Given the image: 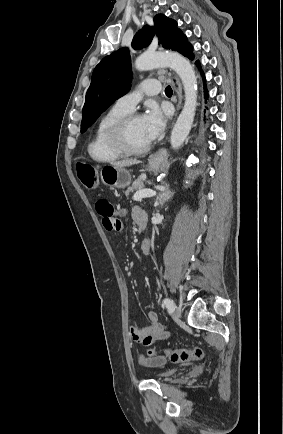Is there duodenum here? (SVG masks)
Segmentation results:
<instances>
[{
    "instance_id": "duodenum-1",
    "label": "duodenum",
    "mask_w": 283,
    "mask_h": 434,
    "mask_svg": "<svg viewBox=\"0 0 283 434\" xmlns=\"http://www.w3.org/2000/svg\"><path fill=\"white\" fill-rule=\"evenodd\" d=\"M146 224H147V223L144 222V221H142V222L139 223L140 229H141L142 231H145V230H146V226H147ZM147 242H148V240L146 239L144 243H147Z\"/></svg>"
}]
</instances>
